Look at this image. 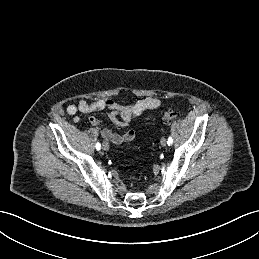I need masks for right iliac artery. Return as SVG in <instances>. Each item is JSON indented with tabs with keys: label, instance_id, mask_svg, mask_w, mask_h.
<instances>
[{
	"label": "right iliac artery",
	"instance_id": "obj_1",
	"mask_svg": "<svg viewBox=\"0 0 259 259\" xmlns=\"http://www.w3.org/2000/svg\"><path fill=\"white\" fill-rule=\"evenodd\" d=\"M96 149H97V150H100V149H101V145H100L99 142L96 143Z\"/></svg>",
	"mask_w": 259,
	"mask_h": 259
}]
</instances>
